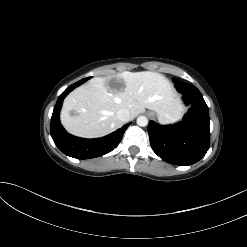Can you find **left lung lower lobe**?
<instances>
[{
    "instance_id": "1",
    "label": "left lung lower lobe",
    "mask_w": 247,
    "mask_h": 247,
    "mask_svg": "<svg viewBox=\"0 0 247 247\" xmlns=\"http://www.w3.org/2000/svg\"><path fill=\"white\" fill-rule=\"evenodd\" d=\"M173 82L191 107L183 121L176 125L161 126L150 121V144L164 161L175 165H192L206 154L210 146L208 106L195 86L176 78H173Z\"/></svg>"
}]
</instances>
